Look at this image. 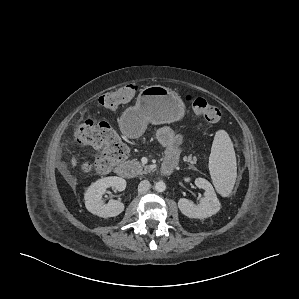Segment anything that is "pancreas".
<instances>
[{
	"instance_id": "obj_1",
	"label": "pancreas",
	"mask_w": 299,
	"mask_h": 299,
	"mask_svg": "<svg viewBox=\"0 0 299 299\" xmlns=\"http://www.w3.org/2000/svg\"><path fill=\"white\" fill-rule=\"evenodd\" d=\"M183 161L189 163V169H195L194 164H196V162H197V157L196 156H192V155L184 156L183 157ZM131 163H132V165L135 168V174L136 175L147 174L148 172L151 171L150 167L142 165L136 159H133L131 161Z\"/></svg>"
}]
</instances>
